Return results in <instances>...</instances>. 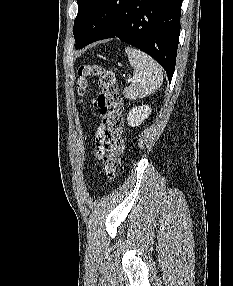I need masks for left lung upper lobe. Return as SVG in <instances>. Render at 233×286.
Here are the masks:
<instances>
[{
    "mask_svg": "<svg viewBox=\"0 0 233 286\" xmlns=\"http://www.w3.org/2000/svg\"><path fill=\"white\" fill-rule=\"evenodd\" d=\"M100 0H77L78 14L74 21L75 41L80 36Z\"/></svg>",
    "mask_w": 233,
    "mask_h": 286,
    "instance_id": "left-lung-upper-lobe-1",
    "label": "left lung upper lobe"
}]
</instances>
